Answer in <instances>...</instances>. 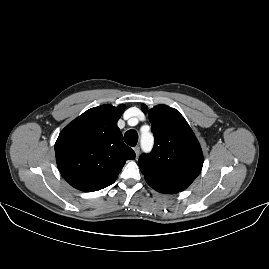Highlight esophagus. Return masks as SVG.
I'll list each match as a JSON object with an SVG mask.
<instances>
[{
	"mask_svg": "<svg viewBox=\"0 0 269 269\" xmlns=\"http://www.w3.org/2000/svg\"><path fill=\"white\" fill-rule=\"evenodd\" d=\"M135 154H136V160L138 159L139 155H140V148L138 146L133 148Z\"/></svg>",
	"mask_w": 269,
	"mask_h": 269,
	"instance_id": "34e87169",
	"label": "esophagus"
}]
</instances>
